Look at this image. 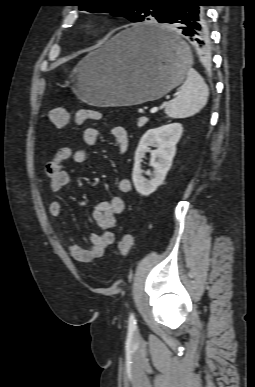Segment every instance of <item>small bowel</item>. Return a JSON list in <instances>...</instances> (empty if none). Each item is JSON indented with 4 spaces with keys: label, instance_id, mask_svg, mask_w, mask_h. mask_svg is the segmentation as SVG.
Listing matches in <instances>:
<instances>
[{
    "label": "small bowel",
    "instance_id": "1",
    "mask_svg": "<svg viewBox=\"0 0 255 387\" xmlns=\"http://www.w3.org/2000/svg\"><path fill=\"white\" fill-rule=\"evenodd\" d=\"M118 150L121 154L125 153L129 138L126 129L122 126H114L110 129ZM83 141L87 146H96L100 142V133L94 127L84 129ZM88 159V152L84 148L72 149L70 147L59 148L52 159L45 164V175L49 181L50 189L57 193L66 188L70 182V174L63 169L62 165L68 160L74 163L83 164ZM117 190L121 194L131 191V181L122 178L117 183ZM125 209V203L122 197L113 196L109 201H103L96 205L93 210L92 218L98 228V232L90 236V245L81 247L74 241H69L68 249L71 256L79 262H90L103 255L104 251L113 245L115 237L111 229L117 223V216ZM62 213V205L58 201H53L49 205V214L53 218H58Z\"/></svg>",
    "mask_w": 255,
    "mask_h": 387
}]
</instances>
